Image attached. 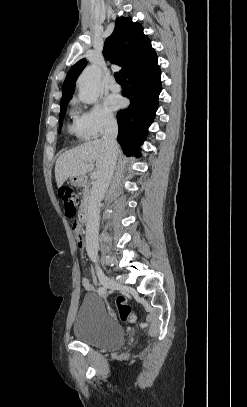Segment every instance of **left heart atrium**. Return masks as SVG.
I'll return each mask as SVG.
<instances>
[{"instance_id": "obj_1", "label": "left heart atrium", "mask_w": 247, "mask_h": 407, "mask_svg": "<svg viewBox=\"0 0 247 407\" xmlns=\"http://www.w3.org/2000/svg\"><path fill=\"white\" fill-rule=\"evenodd\" d=\"M105 104H106L108 109L117 110L118 108L121 107L122 101H121V98L118 97V96H109L106 99Z\"/></svg>"}]
</instances>
